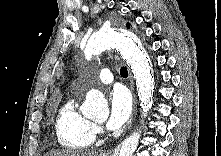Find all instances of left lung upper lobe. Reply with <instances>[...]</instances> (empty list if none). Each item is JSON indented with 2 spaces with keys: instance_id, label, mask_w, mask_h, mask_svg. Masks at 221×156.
Instances as JSON below:
<instances>
[{
  "instance_id": "1",
  "label": "left lung upper lobe",
  "mask_w": 221,
  "mask_h": 156,
  "mask_svg": "<svg viewBox=\"0 0 221 156\" xmlns=\"http://www.w3.org/2000/svg\"><path fill=\"white\" fill-rule=\"evenodd\" d=\"M127 27H128V28H130V25H129V23H127Z\"/></svg>"
}]
</instances>
